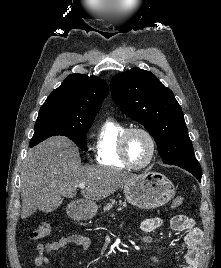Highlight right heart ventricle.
<instances>
[{
    "instance_id": "1",
    "label": "right heart ventricle",
    "mask_w": 221,
    "mask_h": 268,
    "mask_svg": "<svg viewBox=\"0 0 221 268\" xmlns=\"http://www.w3.org/2000/svg\"><path fill=\"white\" fill-rule=\"evenodd\" d=\"M125 129L124 124L112 118L102 124L94 147L97 163L113 168H127L119 155V138Z\"/></svg>"
}]
</instances>
